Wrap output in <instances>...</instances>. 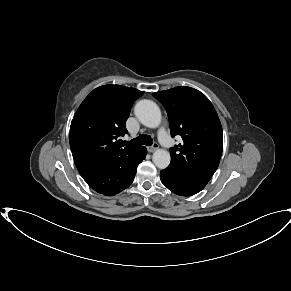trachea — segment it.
<instances>
[{
  "label": "trachea",
  "instance_id": "1",
  "mask_svg": "<svg viewBox=\"0 0 291 291\" xmlns=\"http://www.w3.org/2000/svg\"><path fill=\"white\" fill-rule=\"evenodd\" d=\"M152 138L149 135H139L135 139L131 141H123L122 144L124 146H140V145H147L151 146L152 145Z\"/></svg>",
  "mask_w": 291,
  "mask_h": 291
}]
</instances>
